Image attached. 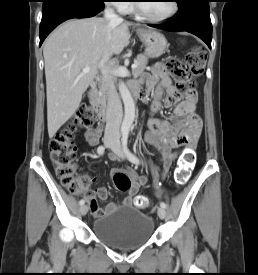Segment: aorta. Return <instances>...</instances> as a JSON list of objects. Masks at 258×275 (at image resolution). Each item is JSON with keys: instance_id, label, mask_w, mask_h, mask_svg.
Masks as SVG:
<instances>
[{"instance_id": "762f6f07", "label": "aorta", "mask_w": 258, "mask_h": 275, "mask_svg": "<svg viewBox=\"0 0 258 275\" xmlns=\"http://www.w3.org/2000/svg\"><path fill=\"white\" fill-rule=\"evenodd\" d=\"M119 92L121 94L125 110L124 119L121 125V131L123 133H129L135 118V103L128 88L123 82H120L119 84Z\"/></svg>"}]
</instances>
